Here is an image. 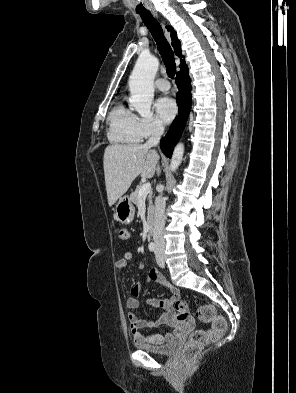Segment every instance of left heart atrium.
<instances>
[{
	"instance_id": "obj_1",
	"label": "left heart atrium",
	"mask_w": 296,
	"mask_h": 393,
	"mask_svg": "<svg viewBox=\"0 0 296 393\" xmlns=\"http://www.w3.org/2000/svg\"><path fill=\"white\" fill-rule=\"evenodd\" d=\"M155 111L164 123L171 122L177 114L176 102L168 97H160L154 105Z\"/></svg>"
}]
</instances>
